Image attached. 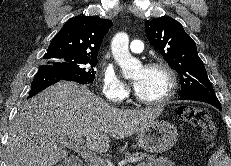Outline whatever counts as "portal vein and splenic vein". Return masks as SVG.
Listing matches in <instances>:
<instances>
[{
    "label": "portal vein and splenic vein",
    "instance_id": "1",
    "mask_svg": "<svg viewBox=\"0 0 231 166\" xmlns=\"http://www.w3.org/2000/svg\"><path fill=\"white\" fill-rule=\"evenodd\" d=\"M60 143L64 146L70 147L71 149L75 150L78 155H80L85 161L89 162L93 166H98L99 164L103 163L104 160L92 153L89 149L84 146V139L81 137L78 138H70V139H61ZM139 158H129L123 160L122 163H136L139 162Z\"/></svg>",
    "mask_w": 231,
    "mask_h": 166
}]
</instances>
